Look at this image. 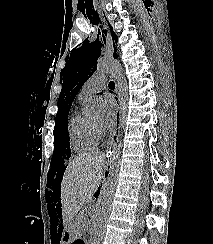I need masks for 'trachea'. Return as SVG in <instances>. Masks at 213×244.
I'll return each mask as SVG.
<instances>
[{"label": "trachea", "mask_w": 213, "mask_h": 244, "mask_svg": "<svg viewBox=\"0 0 213 244\" xmlns=\"http://www.w3.org/2000/svg\"><path fill=\"white\" fill-rule=\"evenodd\" d=\"M109 88H115V83L113 81L109 83Z\"/></svg>", "instance_id": "trachea-1"}]
</instances>
